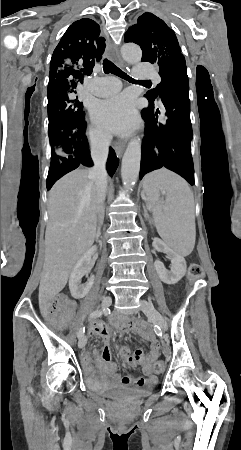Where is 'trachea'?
Listing matches in <instances>:
<instances>
[{
    "instance_id": "trachea-1",
    "label": "trachea",
    "mask_w": 241,
    "mask_h": 450,
    "mask_svg": "<svg viewBox=\"0 0 241 450\" xmlns=\"http://www.w3.org/2000/svg\"><path fill=\"white\" fill-rule=\"evenodd\" d=\"M103 70H104V73H106V74L113 73L114 75H117L118 77L124 78L125 80H129V81L135 82L134 79L129 77L126 73L122 72V70H120V68L116 67V65H114V63H112L108 59H104L103 60ZM137 81L138 82H142L144 80H137Z\"/></svg>"
}]
</instances>
